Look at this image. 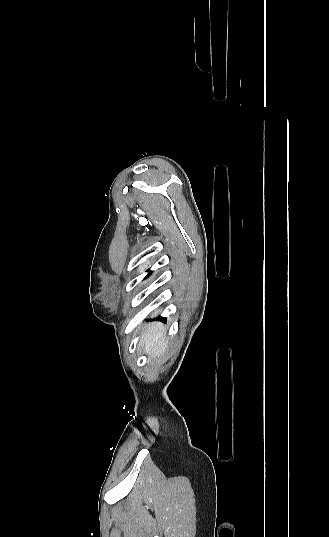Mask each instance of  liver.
Here are the masks:
<instances>
[{"label": "liver", "mask_w": 329, "mask_h": 537, "mask_svg": "<svg viewBox=\"0 0 329 537\" xmlns=\"http://www.w3.org/2000/svg\"><path fill=\"white\" fill-rule=\"evenodd\" d=\"M165 332L163 325L156 323L142 337L141 343L144 350L151 352L152 357H158L165 352L167 348Z\"/></svg>", "instance_id": "liver-1"}]
</instances>
